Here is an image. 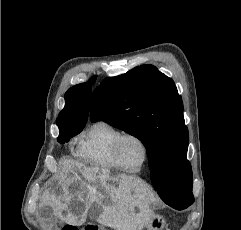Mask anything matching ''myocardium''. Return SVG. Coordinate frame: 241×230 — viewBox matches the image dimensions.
Listing matches in <instances>:
<instances>
[{
  "label": "myocardium",
  "instance_id": "f54148a6",
  "mask_svg": "<svg viewBox=\"0 0 241 230\" xmlns=\"http://www.w3.org/2000/svg\"><path fill=\"white\" fill-rule=\"evenodd\" d=\"M128 138L136 139L142 145L143 150H144V158H143L141 164L136 168H131V167L127 166L121 158L122 144ZM114 156H115V159H116L118 165L120 166V168H122L126 171H133V172L139 171L141 168L144 167V165L147 163V161L149 159V147H148V144L146 143V141L140 135L133 133V132H124L118 136V138L116 139V141L114 143Z\"/></svg>",
  "mask_w": 241,
  "mask_h": 230
}]
</instances>
